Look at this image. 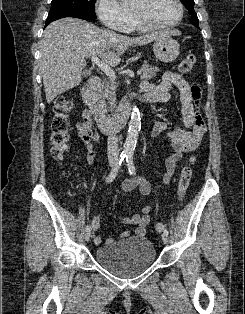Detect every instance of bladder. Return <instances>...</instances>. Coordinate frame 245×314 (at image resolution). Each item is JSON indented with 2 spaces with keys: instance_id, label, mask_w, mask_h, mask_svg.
Wrapping results in <instances>:
<instances>
[{
  "instance_id": "31cf9c89",
  "label": "bladder",
  "mask_w": 245,
  "mask_h": 314,
  "mask_svg": "<svg viewBox=\"0 0 245 314\" xmlns=\"http://www.w3.org/2000/svg\"><path fill=\"white\" fill-rule=\"evenodd\" d=\"M155 259V247L145 237L105 242L96 249L97 262L108 271L122 277H130L145 271Z\"/></svg>"
}]
</instances>
